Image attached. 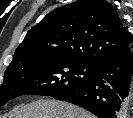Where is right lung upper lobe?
I'll return each instance as SVG.
<instances>
[{
    "mask_svg": "<svg viewBox=\"0 0 133 118\" xmlns=\"http://www.w3.org/2000/svg\"><path fill=\"white\" fill-rule=\"evenodd\" d=\"M129 46V33L105 0H77L48 13L32 27L7 69L48 58L96 67Z\"/></svg>",
    "mask_w": 133,
    "mask_h": 118,
    "instance_id": "cb5924a9",
    "label": "right lung upper lobe"
}]
</instances>
